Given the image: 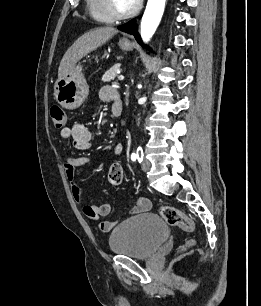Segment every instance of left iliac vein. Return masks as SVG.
I'll use <instances>...</instances> for the list:
<instances>
[{
    "mask_svg": "<svg viewBox=\"0 0 261 306\" xmlns=\"http://www.w3.org/2000/svg\"><path fill=\"white\" fill-rule=\"evenodd\" d=\"M141 168L144 172H147L150 170L151 168V164L150 162L147 160V159H144L142 162H141Z\"/></svg>",
    "mask_w": 261,
    "mask_h": 306,
    "instance_id": "4c4485c4",
    "label": "left iliac vein"
}]
</instances>
